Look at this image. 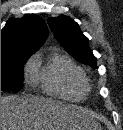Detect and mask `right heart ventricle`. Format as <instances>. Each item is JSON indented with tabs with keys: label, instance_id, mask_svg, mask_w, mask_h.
Masks as SVG:
<instances>
[{
	"label": "right heart ventricle",
	"instance_id": "1",
	"mask_svg": "<svg viewBox=\"0 0 123 130\" xmlns=\"http://www.w3.org/2000/svg\"><path fill=\"white\" fill-rule=\"evenodd\" d=\"M30 74L44 93L61 100L79 102L89 89L84 70L58 50L34 56L30 63Z\"/></svg>",
	"mask_w": 123,
	"mask_h": 130
}]
</instances>
